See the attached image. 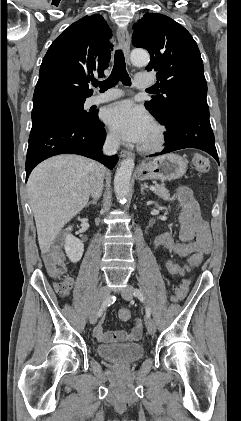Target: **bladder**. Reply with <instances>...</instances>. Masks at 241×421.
<instances>
[{"instance_id": "bladder-1", "label": "bladder", "mask_w": 241, "mask_h": 421, "mask_svg": "<svg viewBox=\"0 0 241 421\" xmlns=\"http://www.w3.org/2000/svg\"><path fill=\"white\" fill-rule=\"evenodd\" d=\"M97 353L108 362L124 365L141 359L144 354V348L139 343L100 344L97 346Z\"/></svg>"}]
</instances>
